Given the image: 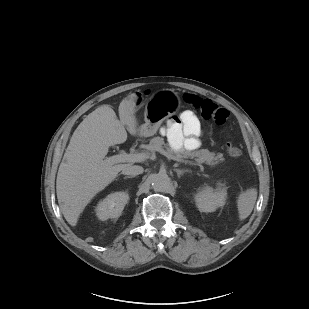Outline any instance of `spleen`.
<instances>
[{"label":"spleen","instance_id":"obj_1","mask_svg":"<svg viewBox=\"0 0 309 309\" xmlns=\"http://www.w3.org/2000/svg\"><path fill=\"white\" fill-rule=\"evenodd\" d=\"M257 193L256 188H249L239 194L237 208L240 220L247 218L251 214L257 200Z\"/></svg>","mask_w":309,"mask_h":309}]
</instances>
